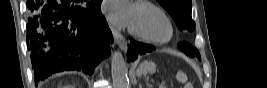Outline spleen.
Here are the masks:
<instances>
[{
	"instance_id": "3e777b00",
	"label": "spleen",
	"mask_w": 267,
	"mask_h": 88,
	"mask_svg": "<svg viewBox=\"0 0 267 88\" xmlns=\"http://www.w3.org/2000/svg\"><path fill=\"white\" fill-rule=\"evenodd\" d=\"M137 73H138V75L142 74L140 67H139ZM176 78H177L178 81L186 82V75L184 73H182V72H178L177 75H176Z\"/></svg>"
}]
</instances>
